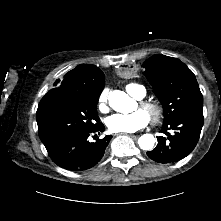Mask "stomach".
I'll use <instances>...</instances> for the list:
<instances>
[{"label": "stomach", "mask_w": 221, "mask_h": 221, "mask_svg": "<svg viewBox=\"0 0 221 221\" xmlns=\"http://www.w3.org/2000/svg\"><path fill=\"white\" fill-rule=\"evenodd\" d=\"M138 71L136 64L127 61L118 66L117 75L121 79H131L137 76Z\"/></svg>", "instance_id": "obj_1"}]
</instances>
